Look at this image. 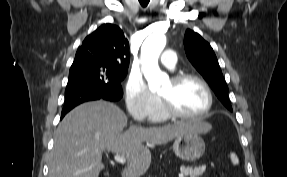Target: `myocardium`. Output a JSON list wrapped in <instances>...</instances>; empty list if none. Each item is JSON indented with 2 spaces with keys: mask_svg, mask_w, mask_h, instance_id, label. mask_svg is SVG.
<instances>
[{
  "mask_svg": "<svg viewBox=\"0 0 287 177\" xmlns=\"http://www.w3.org/2000/svg\"><path fill=\"white\" fill-rule=\"evenodd\" d=\"M186 81H195V82L199 83L202 86V88L204 89V91L207 95V99H208L207 105L204 108V110L198 114L183 113V112L178 111L174 107L170 98L159 95L163 111L165 112L167 117L176 118V119H199V118H203L213 108V105H214L213 92H212L210 86L208 85V83L203 78H201L200 76L195 75V74L181 73V74L174 76L171 79V82H172L174 87H179L181 84H183Z\"/></svg>",
  "mask_w": 287,
  "mask_h": 177,
  "instance_id": "myocardium-1",
  "label": "myocardium"
}]
</instances>
